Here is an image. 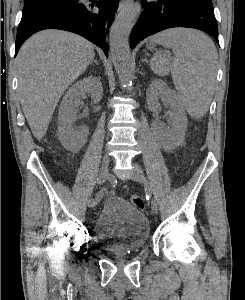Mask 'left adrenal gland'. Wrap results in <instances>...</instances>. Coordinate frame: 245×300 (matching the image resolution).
<instances>
[{
    "label": "left adrenal gland",
    "instance_id": "left-adrenal-gland-1",
    "mask_svg": "<svg viewBox=\"0 0 245 300\" xmlns=\"http://www.w3.org/2000/svg\"><path fill=\"white\" fill-rule=\"evenodd\" d=\"M142 62L148 63V61L146 59H142Z\"/></svg>",
    "mask_w": 245,
    "mask_h": 300
}]
</instances>
